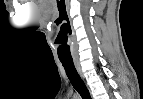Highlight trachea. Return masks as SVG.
Returning a JSON list of instances; mask_svg holds the SVG:
<instances>
[{"mask_svg": "<svg viewBox=\"0 0 143 99\" xmlns=\"http://www.w3.org/2000/svg\"><path fill=\"white\" fill-rule=\"evenodd\" d=\"M66 74L73 85V87L76 89V91L81 95L82 99H91L88 89L86 88L84 82L78 75L74 63L72 60H60Z\"/></svg>", "mask_w": 143, "mask_h": 99, "instance_id": "3493384b", "label": "trachea"}]
</instances>
